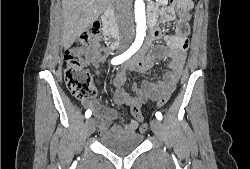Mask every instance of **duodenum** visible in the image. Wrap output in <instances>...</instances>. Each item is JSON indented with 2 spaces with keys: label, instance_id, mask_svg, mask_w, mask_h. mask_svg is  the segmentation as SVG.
I'll use <instances>...</instances> for the list:
<instances>
[{
  "label": "duodenum",
  "instance_id": "obj_1",
  "mask_svg": "<svg viewBox=\"0 0 250 169\" xmlns=\"http://www.w3.org/2000/svg\"><path fill=\"white\" fill-rule=\"evenodd\" d=\"M104 38L108 46L112 49L119 48L124 44L120 33L115 29L112 12L107 10L104 12L103 17Z\"/></svg>",
  "mask_w": 250,
  "mask_h": 169
}]
</instances>
